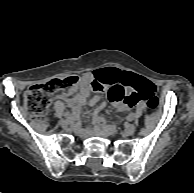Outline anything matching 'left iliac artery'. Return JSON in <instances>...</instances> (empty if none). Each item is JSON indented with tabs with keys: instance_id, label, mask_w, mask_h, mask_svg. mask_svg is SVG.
I'll return each mask as SVG.
<instances>
[{
	"instance_id": "1",
	"label": "left iliac artery",
	"mask_w": 194,
	"mask_h": 193,
	"mask_svg": "<svg viewBox=\"0 0 194 193\" xmlns=\"http://www.w3.org/2000/svg\"><path fill=\"white\" fill-rule=\"evenodd\" d=\"M127 120H129V121L133 120V115H132V114H129V115L127 116Z\"/></svg>"
}]
</instances>
